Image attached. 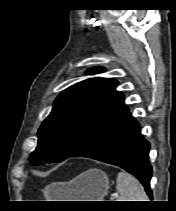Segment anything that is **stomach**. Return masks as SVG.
<instances>
[{
    "mask_svg": "<svg viewBox=\"0 0 176 211\" xmlns=\"http://www.w3.org/2000/svg\"><path fill=\"white\" fill-rule=\"evenodd\" d=\"M109 189L107 174L99 169H90L69 183H54L48 192L55 198L66 201H103Z\"/></svg>",
    "mask_w": 176,
    "mask_h": 211,
    "instance_id": "stomach-1",
    "label": "stomach"
}]
</instances>
